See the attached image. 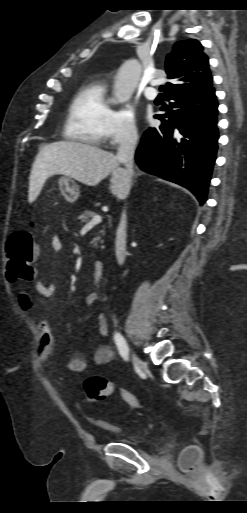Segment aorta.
Returning a JSON list of instances; mask_svg holds the SVG:
<instances>
[{
    "label": "aorta",
    "instance_id": "762f6f07",
    "mask_svg": "<svg viewBox=\"0 0 247 513\" xmlns=\"http://www.w3.org/2000/svg\"><path fill=\"white\" fill-rule=\"evenodd\" d=\"M141 74L138 60H127L119 68L114 84V103H124L132 96Z\"/></svg>",
    "mask_w": 247,
    "mask_h": 513
}]
</instances>
